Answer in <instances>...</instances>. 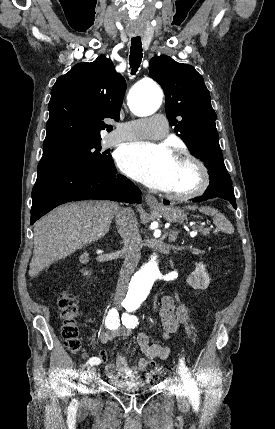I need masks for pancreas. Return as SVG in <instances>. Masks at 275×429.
Masks as SVG:
<instances>
[{
    "label": "pancreas",
    "instance_id": "obj_1",
    "mask_svg": "<svg viewBox=\"0 0 275 429\" xmlns=\"http://www.w3.org/2000/svg\"><path fill=\"white\" fill-rule=\"evenodd\" d=\"M199 232L204 236H208L210 234V229L209 228H200Z\"/></svg>",
    "mask_w": 275,
    "mask_h": 429
}]
</instances>
